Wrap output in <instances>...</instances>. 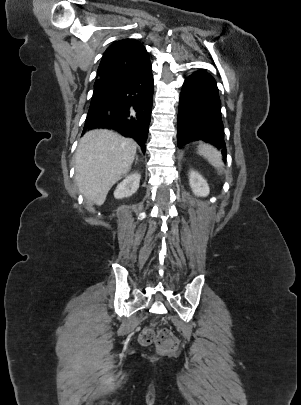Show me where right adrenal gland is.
<instances>
[{
    "instance_id": "obj_1",
    "label": "right adrenal gland",
    "mask_w": 301,
    "mask_h": 405,
    "mask_svg": "<svg viewBox=\"0 0 301 405\" xmlns=\"http://www.w3.org/2000/svg\"><path fill=\"white\" fill-rule=\"evenodd\" d=\"M137 160H138V156L136 155V162H137Z\"/></svg>"
}]
</instances>
